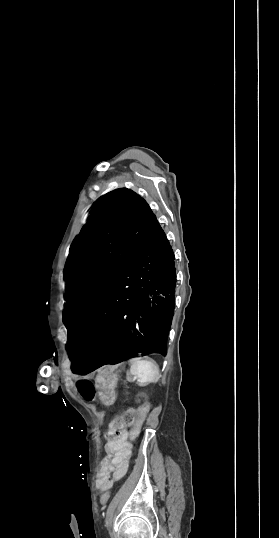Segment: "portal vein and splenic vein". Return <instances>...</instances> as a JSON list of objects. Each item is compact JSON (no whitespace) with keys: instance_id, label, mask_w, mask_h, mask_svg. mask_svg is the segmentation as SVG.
Masks as SVG:
<instances>
[{"instance_id":"portal-vein-and-splenic-vein-1","label":"portal vein and splenic vein","mask_w":279,"mask_h":538,"mask_svg":"<svg viewBox=\"0 0 279 538\" xmlns=\"http://www.w3.org/2000/svg\"><path fill=\"white\" fill-rule=\"evenodd\" d=\"M134 384H138V381H134Z\"/></svg>"}]
</instances>
